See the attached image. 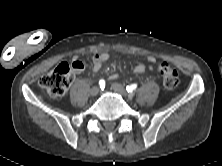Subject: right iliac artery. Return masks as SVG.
<instances>
[{"label": "right iliac artery", "instance_id": "82829eb1", "mask_svg": "<svg viewBox=\"0 0 222 166\" xmlns=\"http://www.w3.org/2000/svg\"><path fill=\"white\" fill-rule=\"evenodd\" d=\"M99 85H100L101 88H104L105 87V81L103 79H101L99 81Z\"/></svg>", "mask_w": 222, "mask_h": 166}]
</instances>
